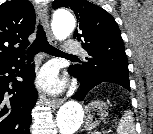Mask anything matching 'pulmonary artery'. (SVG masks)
I'll list each match as a JSON object with an SVG mask.
<instances>
[{
    "instance_id": "obj_1",
    "label": "pulmonary artery",
    "mask_w": 153,
    "mask_h": 134,
    "mask_svg": "<svg viewBox=\"0 0 153 134\" xmlns=\"http://www.w3.org/2000/svg\"><path fill=\"white\" fill-rule=\"evenodd\" d=\"M63 52L67 54H76L83 52V50L77 42L69 40L65 43Z\"/></svg>"
}]
</instances>
